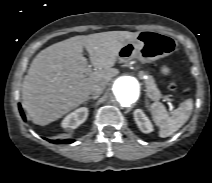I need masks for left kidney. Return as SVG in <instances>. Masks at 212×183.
<instances>
[{
    "label": "left kidney",
    "instance_id": "1",
    "mask_svg": "<svg viewBox=\"0 0 212 183\" xmlns=\"http://www.w3.org/2000/svg\"><path fill=\"white\" fill-rule=\"evenodd\" d=\"M134 120L143 133H150L153 131V125L148 117L145 115L143 110L136 109L134 111Z\"/></svg>",
    "mask_w": 212,
    "mask_h": 183
}]
</instances>
